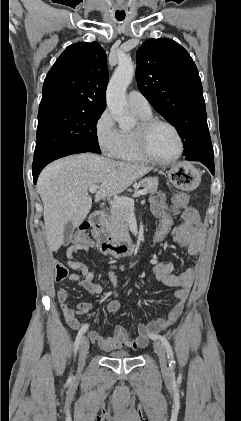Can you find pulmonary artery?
<instances>
[{
	"instance_id": "obj_1",
	"label": "pulmonary artery",
	"mask_w": 241,
	"mask_h": 421,
	"mask_svg": "<svg viewBox=\"0 0 241 421\" xmlns=\"http://www.w3.org/2000/svg\"><path fill=\"white\" fill-rule=\"evenodd\" d=\"M128 106L131 110L150 113L151 108L147 99L138 91H130L127 97Z\"/></svg>"
}]
</instances>
